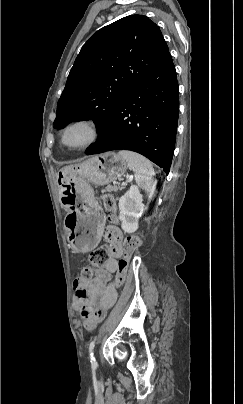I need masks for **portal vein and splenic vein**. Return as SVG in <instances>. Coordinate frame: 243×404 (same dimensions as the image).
Instances as JSON below:
<instances>
[{"label":"portal vein and splenic vein","mask_w":243,"mask_h":404,"mask_svg":"<svg viewBox=\"0 0 243 404\" xmlns=\"http://www.w3.org/2000/svg\"><path fill=\"white\" fill-rule=\"evenodd\" d=\"M132 183H133V175L129 174L128 179L123 182L122 186H130Z\"/></svg>","instance_id":"18ae733b"}]
</instances>
